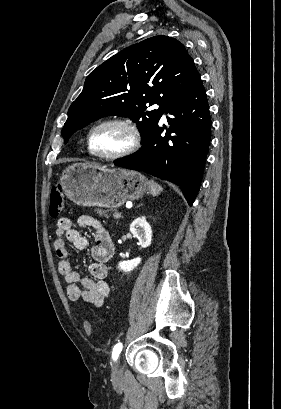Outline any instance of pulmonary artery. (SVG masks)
Wrapping results in <instances>:
<instances>
[{"label": "pulmonary artery", "instance_id": "1", "mask_svg": "<svg viewBox=\"0 0 281 409\" xmlns=\"http://www.w3.org/2000/svg\"><path fill=\"white\" fill-rule=\"evenodd\" d=\"M167 115V113H164V116H166Z\"/></svg>", "mask_w": 281, "mask_h": 409}]
</instances>
